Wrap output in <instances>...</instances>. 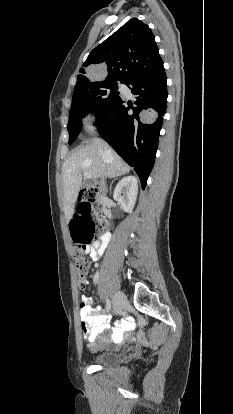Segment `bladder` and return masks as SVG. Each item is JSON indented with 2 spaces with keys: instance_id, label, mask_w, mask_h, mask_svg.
Listing matches in <instances>:
<instances>
[{
  "instance_id": "bladder-1",
  "label": "bladder",
  "mask_w": 233,
  "mask_h": 414,
  "mask_svg": "<svg viewBox=\"0 0 233 414\" xmlns=\"http://www.w3.org/2000/svg\"><path fill=\"white\" fill-rule=\"evenodd\" d=\"M119 355L115 352H103L93 358V363L100 366H111L118 362Z\"/></svg>"
}]
</instances>
